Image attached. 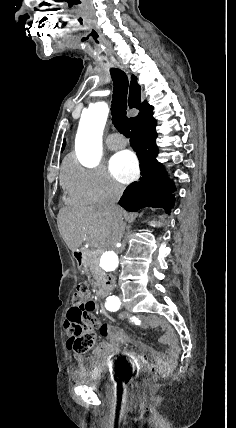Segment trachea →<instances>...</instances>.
Here are the masks:
<instances>
[{"mask_svg":"<svg viewBox=\"0 0 236 428\" xmlns=\"http://www.w3.org/2000/svg\"><path fill=\"white\" fill-rule=\"evenodd\" d=\"M85 29L89 28L88 24L84 25ZM91 40L93 45H97L101 40V35L96 33L95 29L91 30ZM98 60L100 64L108 63V55L106 51L101 48L97 49ZM111 77L113 80V99L111 104V114L115 127L125 137L130 138L129 119L126 115L127 109V93H128V77L119 68L110 69Z\"/></svg>","mask_w":236,"mask_h":428,"instance_id":"3493384b","label":"trachea"}]
</instances>
